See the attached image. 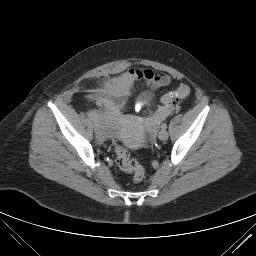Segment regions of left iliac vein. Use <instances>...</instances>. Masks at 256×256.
Wrapping results in <instances>:
<instances>
[{"label":"left iliac vein","instance_id":"4c4485c4","mask_svg":"<svg viewBox=\"0 0 256 256\" xmlns=\"http://www.w3.org/2000/svg\"><path fill=\"white\" fill-rule=\"evenodd\" d=\"M158 138L161 140V141H165L167 140L168 138V132L166 129H161L158 133Z\"/></svg>","mask_w":256,"mask_h":256}]
</instances>
